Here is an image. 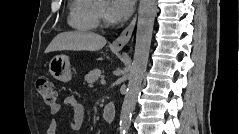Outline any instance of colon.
I'll return each mask as SVG.
<instances>
[{"label": "colon", "instance_id": "obj_1", "mask_svg": "<svg viewBox=\"0 0 239 134\" xmlns=\"http://www.w3.org/2000/svg\"><path fill=\"white\" fill-rule=\"evenodd\" d=\"M36 89L42 99L49 105L55 103L56 95L52 82L47 78H39L36 82Z\"/></svg>", "mask_w": 239, "mask_h": 134}]
</instances>
